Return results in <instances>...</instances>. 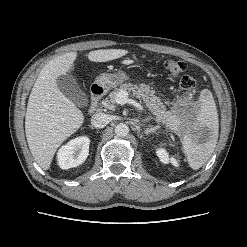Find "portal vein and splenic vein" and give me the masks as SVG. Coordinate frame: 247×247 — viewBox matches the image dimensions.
I'll return each instance as SVG.
<instances>
[{
	"label": "portal vein and splenic vein",
	"mask_w": 247,
	"mask_h": 247,
	"mask_svg": "<svg viewBox=\"0 0 247 247\" xmlns=\"http://www.w3.org/2000/svg\"><path fill=\"white\" fill-rule=\"evenodd\" d=\"M115 102L117 104H120V105H124L126 103L132 104L136 108H138L139 110H141V111L144 110V107L140 103H138L135 100L130 99L128 97V92H126V91H120V92H118L117 95H116V97H115Z\"/></svg>",
	"instance_id": "18ae733b"
}]
</instances>
